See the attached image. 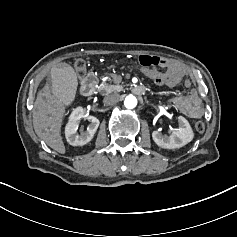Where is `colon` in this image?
Instances as JSON below:
<instances>
[{
  "instance_id": "obj_1",
  "label": "colon",
  "mask_w": 237,
  "mask_h": 237,
  "mask_svg": "<svg viewBox=\"0 0 237 237\" xmlns=\"http://www.w3.org/2000/svg\"><path fill=\"white\" fill-rule=\"evenodd\" d=\"M139 65L144 69H155L158 71V75L153 78V81L160 85H168L173 82V76L167 74L160 69L165 68L166 60L162 57L158 56H150V55H141L138 58ZM74 68L79 76L84 75L86 71V63L83 60H77L74 63ZM195 129L199 133H203L205 131V124L202 121H198L195 123Z\"/></svg>"
}]
</instances>
